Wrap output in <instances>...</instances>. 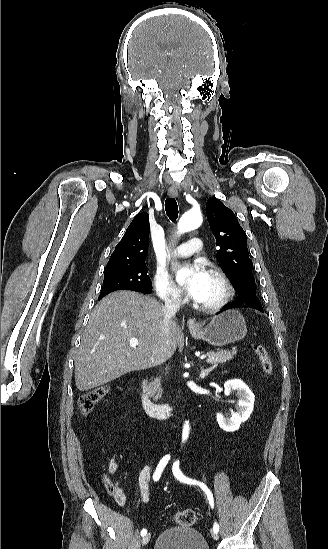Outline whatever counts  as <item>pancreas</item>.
I'll return each mask as SVG.
<instances>
[{
  "label": "pancreas",
  "mask_w": 328,
  "mask_h": 549,
  "mask_svg": "<svg viewBox=\"0 0 328 549\" xmlns=\"http://www.w3.org/2000/svg\"><path fill=\"white\" fill-rule=\"evenodd\" d=\"M234 355H236V351H219V353L209 351V353H207L208 359H206V363H211V365H213V369H216L218 363H226V361H231ZM160 383V379H154L152 383H149L147 393H150V395H156V397H161L162 389Z\"/></svg>",
  "instance_id": "obj_1"
}]
</instances>
